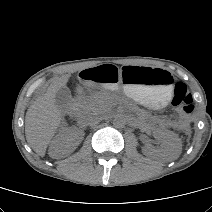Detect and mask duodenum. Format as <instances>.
Wrapping results in <instances>:
<instances>
[{"mask_svg": "<svg viewBox=\"0 0 212 212\" xmlns=\"http://www.w3.org/2000/svg\"><path fill=\"white\" fill-rule=\"evenodd\" d=\"M76 110L77 109H76V106L74 104H70L68 106V111H69L70 114L74 115L76 113Z\"/></svg>", "mask_w": 212, "mask_h": 212, "instance_id": "1", "label": "duodenum"}]
</instances>
